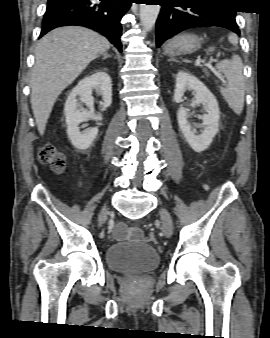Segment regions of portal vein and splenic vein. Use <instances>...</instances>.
Returning <instances> with one entry per match:
<instances>
[{"label":"portal vein and splenic vein","instance_id":"portal-vein-and-splenic-vein-1","mask_svg":"<svg viewBox=\"0 0 270 338\" xmlns=\"http://www.w3.org/2000/svg\"><path fill=\"white\" fill-rule=\"evenodd\" d=\"M201 62H202L201 59H197L195 64H196L197 66H200V65H201Z\"/></svg>","mask_w":270,"mask_h":338}]
</instances>
